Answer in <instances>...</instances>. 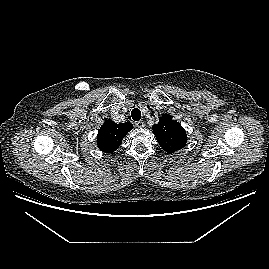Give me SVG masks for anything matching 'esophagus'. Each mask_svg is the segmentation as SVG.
Segmentation results:
<instances>
[{"mask_svg":"<svg viewBox=\"0 0 269 269\" xmlns=\"http://www.w3.org/2000/svg\"><path fill=\"white\" fill-rule=\"evenodd\" d=\"M135 125H136V127H138V128H143V127H145V123H144V121H137V122H135Z\"/></svg>","mask_w":269,"mask_h":269,"instance_id":"1","label":"esophagus"}]
</instances>
